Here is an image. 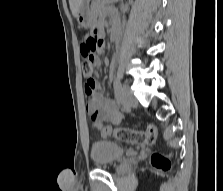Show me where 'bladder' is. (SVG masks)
<instances>
[{
  "label": "bladder",
  "instance_id": "1",
  "mask_svg": "<svg viewBox=\"0 0 223 191\" xmlns=\"http://www.w3.org/2000/svg\"><path fill=\"white\" fill-rule=\"evenodd\" d=\"M124 146L115 141L97 140L92 143L90 156L94 165L106 167L119 161L125 154Z\"/></svg>",
  "mask_w": 223,
  "mask_h": 191
}]
</instances>
